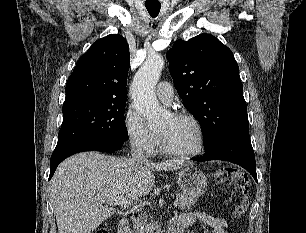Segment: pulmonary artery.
Listing matches in <instances>:
<instances>
[{"label":"pulmonary artery","instance_id":"1","mask_svg":"<svg viewBox=\"0 0 306 233\" xmlns=\"http://www.w3.org/2000/svg\"><path fill=\"white\" fill-rule=\"evenodd\" d=\"M156 95L160 101L170 103L174 95L172 85L167 81L159 83L156 88Z\"/></svg>","mask_w":306,"mask_h":233}]
</instances>
